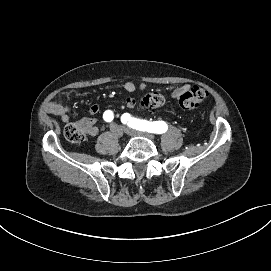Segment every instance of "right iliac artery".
Masks as SVG:
<instances>
[{"label": "right iliac artery", "instance_id": "1", "mask_svg": "<svg viewBox=\"0 0 271 271\" xmlns=\"http://www.w3.org/2000/svg\"><path fill=\"white\" fill-rule=\"evenodd\" d=\"M114 118V115H113V112L110 111V110H107L104 112L103 114V119L106 121V122H111Z\"/></svg>", "mask_w": 271, "mask_h": 271}]
</instances>
